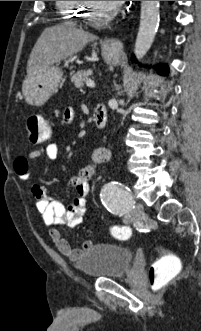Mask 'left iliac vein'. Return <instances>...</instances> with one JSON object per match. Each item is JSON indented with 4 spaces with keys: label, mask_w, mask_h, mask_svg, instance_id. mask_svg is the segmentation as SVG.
<instances>
[{
    "label": "left iliac vein",
    "mask_w": 201,
    "mask_h": 331,
    "mask_svg": "<svg viewBox=\"0 0 201 331\" xmlns=\"http://www.w3.org/2000/svg\"><path fill=\"white\" fill-rule=\"evenodd\" d=\"M143 211V206L141 203H137L135 206H134V209H133V213L135 215H140Z\"/></svg>",
    "instance_id": "obj_1"
}]
</instances>
